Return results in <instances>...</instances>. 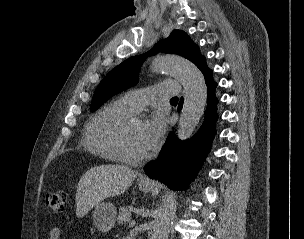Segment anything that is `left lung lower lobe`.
Instances as JSON below:
<instances>
[{
	"label": "left lung lower lobe",
	"instance_id": "left-lung-lower-lobe-1",
	"mask_svg": "<svg viewBox=\"0 0 304 239\" xmlns=\"http://www.w3.org/2000/svg\"><path fill=\"white\" fill-rule=\"evenodd\" d=\"M208 88V106L205 112L204 123L198 135L188 141L181 142L174 133H171L158 158L145 167V173L152 179H158L174 190L186 189L188 181L195 177L203 163L214 136L215 123L218 118L215 96L217 83L212 78V70L208 68L206 60L199 64ZM183 98L178 105L182 109Z\"/></svg>",
	"mask_w": 304,
	"mask_h": 239
}]
</instances>
